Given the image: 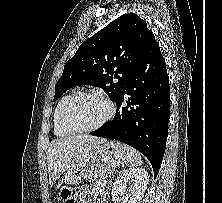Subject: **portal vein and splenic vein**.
I'll list each match as a JSON object with an SVG mask.
<instances>
[{
  "label": "portal vein and splenic vein",
  "mask_w": 222,
  "mask_h": 203,
  "mask_svg": "<svg viewBox=\"0 0 222 203\" xmlns=\"http://www.w3.org/2000/svg\"><path fill=\"white\" fill-rule=\"evenodd\" d=\"M113 165L115 166V165H116V162H114Z\"/></svg>",
  "instance_id": "obj_1"
}]
</instances>
